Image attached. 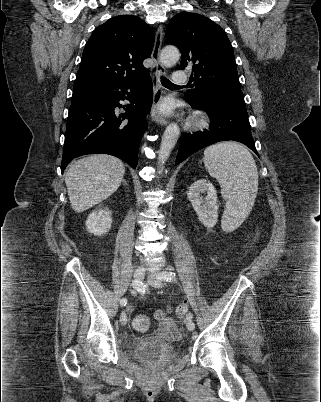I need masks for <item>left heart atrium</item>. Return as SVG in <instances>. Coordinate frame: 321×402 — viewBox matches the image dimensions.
I'll list each match as a JSON object with an SVG mask.
<instances>
[{"instance_id":"obj_1","label":"left heart atrium","mask_w":321,"mask_h":402,"mask_svg":"<svg viewBox=\"0 0 321 402\" xmlns=\"http://www.w3.org/2000/svg\"><path fill=\"white\" fill-rule=\"evenodd\" d=\"M162 110L166 113L170 112L171 106L169 104H166L163 106Z\"/></svg>"}]
</instances>
